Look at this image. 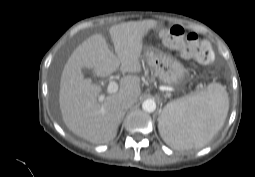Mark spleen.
Instances as JSON below:
<instances>
[{
  "instance_id": "3e777b00",
  "label": "spleen",
  "mask_w": 255,
  "mask_h": 177,
  "mask_svg": "<svg viewBox=\"0 0 255 177\" xmlns=\"http://www.w3.org/2000/svg\"><path fill=\"white\" fill-rule=\"evenodd\" d=\"M228 110L224 87L210 84L200 94H190L166 105L159 120L161 137L175 149L203 147L221 129Z\"/></svg>"
}]
</instances>
